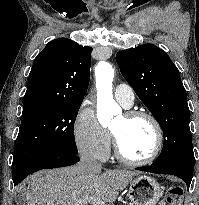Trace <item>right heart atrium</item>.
Masks as SVG:
<instances>
[{
    "label": "right heart atrium",
    "instance_id": "obj_1",
    "mask_svg": "<svg viewBox=\"0 0 199 205\" xmlns=\"http://www.w3.org/2000/svg\"><path fill=\"white\" fill-rule=\"evenodd\" d=\"M74 140L78 151L86 157L105 160L109 156L111 136L99 123L89 102H83L74 121Z\"/></svg>",
    "mask_w": 199,
    "mask_h": 205
}]
</instances>
